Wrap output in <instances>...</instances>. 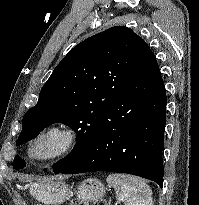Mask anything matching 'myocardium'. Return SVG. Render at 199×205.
Returning <instances> with one entry per match:
<instances>
[{
	"label": "myocardium",
	"mask_w": 199,
	"mask_h": 205,
	"mask_svg": "<svg viewBox=\"0 0 199 205\" xmlns=\"http://www.w3.org/2000/svg\"><path fill=\"white\" fill-rule=\"evenodd\" d=\"M76 142L77 132L73 126L54 123L42 129L35 136L30 145V156L40 163L52 162L67 155ZM46 143H50L51 146L43 150Z\"/></svg>",
	"instance_id": "myocardium-1"
}]
</instances>
